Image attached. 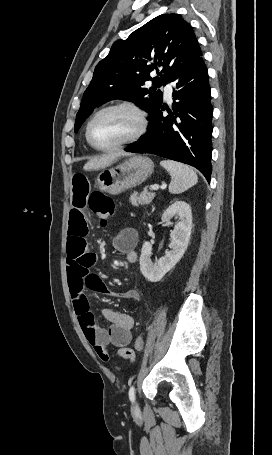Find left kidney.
Here are the masks:
<instances>
[{"label": "left kidney", "instance_id": "obj_1", "mask_svg": "<svg viewBox=\"0 0 272 455\" xmlns=\"http://www.w3.org/2000/svg\"><path fill=\"white\" fill-rule=\"evenodd\" d=\"M173 217L179 218L180 221L175 224L174 230L170 234L171 250L166 252L164 257L153 263L150 258L152 245L145 242L142 246L140 271L150 282L160 281L179 262L188 247L192 229V213L189 204L184 201L174 202L165 210L161 220L166 225H172Z\"/></svg>", "mask_w": 272, "mask_h": 455}]
</instances>
